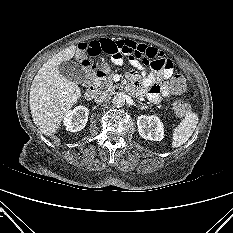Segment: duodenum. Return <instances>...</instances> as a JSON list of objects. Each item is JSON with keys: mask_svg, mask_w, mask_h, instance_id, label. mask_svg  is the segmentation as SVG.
<instances>
[{"mask_svg": "<svg viewBox=\"0 0 233 233\" xmlns=\"http://www.w3.org/2000/svg\"><path fill=\"white\" fill-rule=\"evenodd\" d=\"M102 76H103V73L98 71V70H95L93 72V82L85 91V97L87 99L90 100V99H93L96 96V94L98 92L97 82Z\"/></svg>", "mask_w": 233, "mask_h": 233, "instance_id": "1", "label": "duodenum"}]
</instances>
